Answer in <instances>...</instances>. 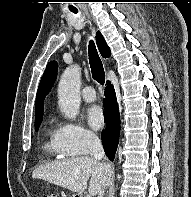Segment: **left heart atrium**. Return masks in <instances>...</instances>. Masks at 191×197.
<instances>
[{"mask_svg":"<svg viewBox=\"0 0 191 197\" xmlns=\"http://www.w3.org/2000/svg\"><path fill=\"white\" fill-rule=\"evenodd\" d=\"M86 118L89 126L95 130L104 125V114L99 106H91L87 110Z\"/></svg>","mask_w":191,"mask_h":197,"instance_id":"obj_1","label":"left heart atrium"}]
</instances>
